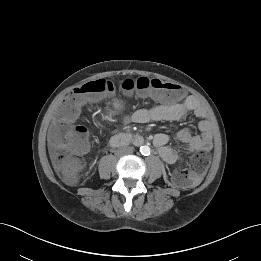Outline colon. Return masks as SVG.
<instances>
[{"instance_id":"colon-1","label":"colon","mask_w":261,"mask_h":261,"mask_svg":"<svg viewBox=\"0 0 261 261\" xmlns=\"http://www.w3.org/2000/svg\"><path fill=\"white\" fill-rule=\"evenodd\" d=\"M119 88L126 92L138 91L143 97L164 103L177 101L182 96L178 85L156 78L125 79L119 84ZM113 90L114 85L108 79L83 83L74 89L59 109L58 115L61 121L53 127L51 138L54 144L64 149L65 152L58 154L54 163L62 178L68 183H74L77 180L78 174L84 166L81 156L89 149L86 128L72 127L70 121L78 114L83 99L99 93H111ZM209 163L210 156L207 152L200 151L194 154L188 168H176L172 171L173 183L179 187L195 185L208 168Z\"/></svg>"}]
</instances>
